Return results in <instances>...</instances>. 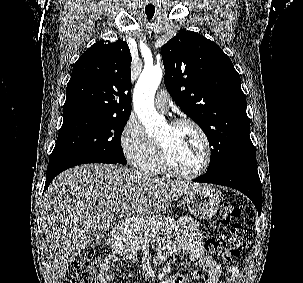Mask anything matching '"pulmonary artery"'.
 <instances>
[{"label": "pulmonary artery", "instance_id": "e3ab8cb5", "mask_svg": "<svg viewBox=\"0 0 303 283\" xmlns=\"http://www.w3.org/2000/svg\"><path fill=\"white\" fill-rule=\"evenodd\" d=\"M155 106L162 112H166L169 109V96L166 91H160L156 94Z\"/></svg>", "mask_w": 303, "mask_h": 283}]
</instances>
